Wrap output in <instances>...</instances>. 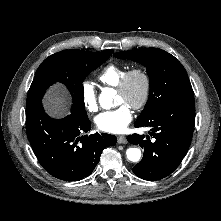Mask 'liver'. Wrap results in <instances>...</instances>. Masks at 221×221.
<instances>
[{
    "mask_svg": "<svg viewBox=\"0 0 221 221\" xmlns=\"http://www.w3.org/2000/svg\"><path fill=\"white\" fill-rule=\"evenodd\" d=\"M47 113L53 117H63L68 114L67 98L60 88L51 89L44 100Z\"/></svg>",
    "mask_w": 221,
    "mask_h": 221,
    "instance_id": "6515ba94",
    "label": "liver"
}]
</instances>
